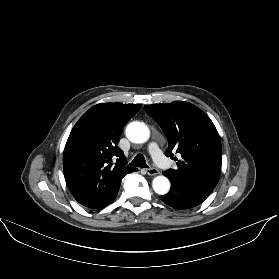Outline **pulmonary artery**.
I'll return each mask as SVG.
<instances>
[{
	"label": "pulmonary artery",
	"instance_id": "pulmonary-artery-1",
	"mask_svg": "<svg viewBox=\"0 0 279 279\" xmlns=\"http://www.w3.org/2000/svg\"><path fill=\"white\" fill-rule=\"evenodd\" d=\"M148 153L152 156V158L154 159V161L156 162V164L163 168L166 169L167 168V161L164 158V156L162 155L159 146L156 142L151 143L148 148H147Z\"/></svg>",
	"mask_w": 279,
	"mask_h": 279
}]
</instances>
